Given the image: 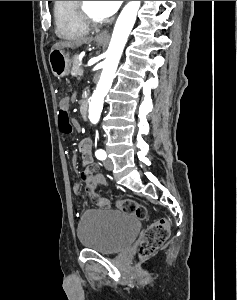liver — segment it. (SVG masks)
Segmentation results:
<instances>
[{
    "label": "liver",
    "instance_id": "obj_1",
    "mask_svg": "<svg viewBox=\"0 0 237 300\" xmlns=\"http://www.w3.org/2000/svg\"><path fill=\"white\" fill-rule=\"evenodd\" d=\"M94 41L93 37H82L80 41H75V43H69V41H59V43H55L52 47L53 49H65V47H70V49H76V47H81V45H85V43H91Z\"/></svg>",
    "mask_w": 237,
    "mask_h": 300
}]
</instances>
